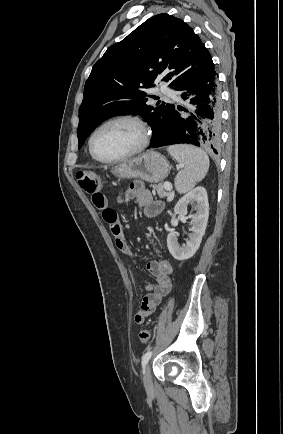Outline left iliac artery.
Masks as SVG:
<instances>
[{
    "label": "left iliac artery",
    "instance_id": "left-iliac-artery-1",
    "mask_svg": "<svg viewBox=\"0 0 283 434\" xmlns=\"http://www.w3.org/2000/svg\"><path fill=\"white\" fill-rule=\"evenodd\" d=\"M151 356H152V352L151 351H148V352H146L143 355V357H142V366H143V368L146 366V364L148 363V361L151 358Z\"/></svg>",
    "mask_w": 283,
    "mask_h": 434
}]
</instances>
